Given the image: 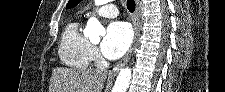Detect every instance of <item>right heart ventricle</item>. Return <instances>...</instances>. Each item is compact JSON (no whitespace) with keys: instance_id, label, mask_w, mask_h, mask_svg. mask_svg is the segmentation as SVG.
Masks as SVG:
<instances>
[{"instance_id":"right-heart-ventricle-1","label":"right heart ventricle","mask_w":225,"mask_h":92,"mask_svg":"<svg viewBox=\"0 0 225 92\" xmlns=\"http://www.w3.org/2000/svg\"><path fill=\"white\" fill-rule=\"evenodd\" d=\"M92 49V44L80 30V23L76 20L68 23L58 49L61 61L69 67L86 69L92 60Z\"/></svg>"}]
</instances>
